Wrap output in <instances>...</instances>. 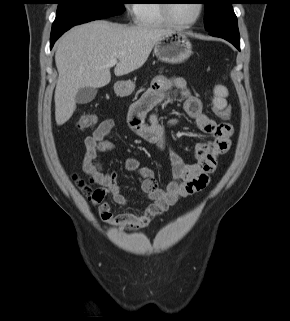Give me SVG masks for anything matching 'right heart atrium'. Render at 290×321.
Listing matches in <instances>:
<instances>
[{
	"instance_id": "right-heart-atrium-1",
	"label": "right heart atrium",
	"mask_w": 290,
	"mask_h": 321,
	"mask_svg": "<svg viewBox=\"0 0 290 321\" xmlns=\"http://www.w3.org/2000/svg\"><path fill=\"white\" fill-rule=\"evenodd\" d=\"M129 13L134 14V10L132 8H128Z\"/></svg>"
}]
</instances>
